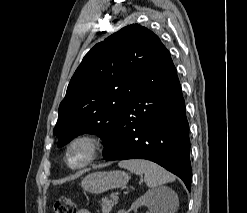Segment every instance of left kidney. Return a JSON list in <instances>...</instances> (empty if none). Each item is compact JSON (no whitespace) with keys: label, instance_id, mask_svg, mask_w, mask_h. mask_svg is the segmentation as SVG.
<instances>
[{"label":"left kidney","instance_id":"obj_1","mask_svg":"<svg viewBox=\"0 0 247 213\" xmlns=\"http://www.w3.org/2000/svg\"><path fill=\"white\" fill-rule=\"evenodd\" d=\"M164 200V190L148 191L132 204L131 209L137 211L139 207L146 206L150 213H163L161 205Z\"/></svg>","mask_w":247,"mask_h":213}]
</instances>
